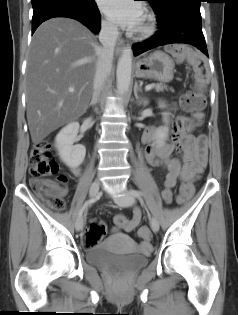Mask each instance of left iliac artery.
<instances>
[{"mask_svg":"<svg viewBox=\"0 0 238 315\" xmlns=\"http://www.w3.org/2000/svg\"><path fill=\"white\" fill-rule=\"evenodd\" d=\"M129 194L136 197V198H139L143 195V193L141 191H138V190H135V189H132L129 191Z\"/></svg>","mask_w":238,"mask_h":315,"instance_id":"left-iliac-artery-1","label":"left iliac artery"}]
</instances>
